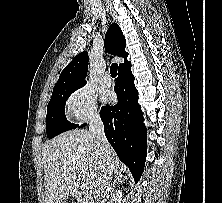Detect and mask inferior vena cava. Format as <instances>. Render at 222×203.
Returning a JSON list of instances; mask_svg holds the SVG:
<instances>
[{
  "label": "inferior vena cava",
  "instance_id": "inferior-vena-cava-1",
  "mask_svg": "<svg viewBox=\"0 0 222 203\" xmlns=\"http://www.w3.org/2000/svg\"><path fill=\"white\" fill-rule=\"evenodd\" d=\"M89 132L98 147L100 155L109 164V175L101 182L97 191V203H105L106 198L109 196L112 190V177L115 171V165L111 162V151L112 148L108 143L105 133L104 125L98 114L92 116L89 125Z\"/></svg>",
  "mask_w": 222,
  "mask_h": 203
}]
</instances>
